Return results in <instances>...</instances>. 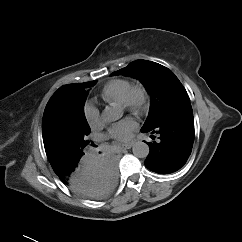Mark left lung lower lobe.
<instances>
[{
	"label": "left lung lower lobe",
	"instance_id": "0a47b994",
	"mask_svg": "<svg viewBox=\"0 0 242 242\" xmlns=\"http://www.w3.org/2000/svg\"><path fill=\"white\" fill-rule=\"evenodd\" d=\"M142 132L159 134V143H149L146 167L158 174L178 171L191 154L194 142V118L190 102L177 106ZM154 137V136H152Z\"/></svg>",
	"mask_w": 242,
	"mask_h": 242
}]
</instances>
